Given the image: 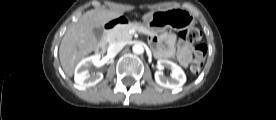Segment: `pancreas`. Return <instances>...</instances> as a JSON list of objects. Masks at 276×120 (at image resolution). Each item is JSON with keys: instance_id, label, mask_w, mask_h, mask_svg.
I'll list each match as a JSON object with an SVG mask.
<instances>
[{"instance_id": "pancreas-1", "label": "pancreas", "mask_w": 276, "mask_h": 120, "mask_svg": "<svg viewBox=\"0 0 276 120\" xmlns=\"http://www.w3.org/2000/svg\"><path fill=\"white\" fill-rule=\"evenodd\" d=\"M131 29H135L136 31L142 32L144 34H152L150 30H148L146 27L142 26L139 23L119 25L108 33L109 43L130 40L132 38V35L129 33V30Z\"/></svg>"}]
</instances>
